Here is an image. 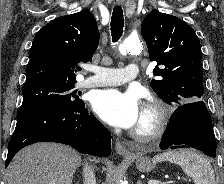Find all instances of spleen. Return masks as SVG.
Here are the masks:
<instances>
[{"label": "spleen", "instance_id": "3e777b00", "mask_svg": "<svg viewBox=\"0 0 224 184\" xmlns=\"http://www.w3.org/2000/svg\"><path fill=\"white\" fill-rule=\"evenodd\" d=\"M169 161L179 165L195 184H215L214 170L209 161L192 150L168 151L158 154L153 162Z\"/></svg>", "mask_w": 224, "mask_h": 184}]
</instances>
